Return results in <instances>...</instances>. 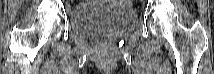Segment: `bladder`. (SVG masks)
Wrapping results in <instances>:
<instances>
[{
  "label": "bladder",
  "mask_w": 214,
  "mask_h": 74,
  "mask_svg": "<svg viewBox=\"0 0 214 74\" xmlns=\"http://www.w3.org/2000/svg\"><path fill=\"white\" fill-rule=\"evenodd\" d=\"M136 23V12L118 1L80 2L69 15L71 30L83 37H89L97 29H109L122 36Z\"/></svg>",
  "instance_id": "obj_1"
}]
</instances>
